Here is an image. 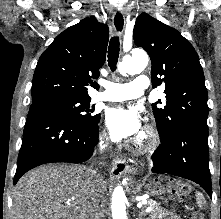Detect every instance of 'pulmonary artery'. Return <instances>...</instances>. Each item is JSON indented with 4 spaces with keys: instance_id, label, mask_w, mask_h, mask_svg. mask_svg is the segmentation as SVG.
Listing matches in <instances>:
<instances>
[{
    "instance_id": "e3ab8cb5",
    "label": "pulmonary artery",
    "mask_w": 221,
    "mask_h": 219,
    "mask_svg": "<svg viewBox=\"0 0 221 219\" xmlns=\"http://www.w3.org/2000/svg\"><path fill=\"white\" fill-rule=\"evenodd\" d=\"M105 90L96 95L95 100L100 101H123L142 96L148 88V78L144 75L134 77L131 83L116 84L103 81Z\"/></svg>"
}]
</instances>
